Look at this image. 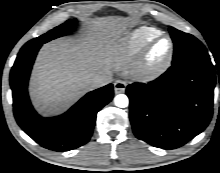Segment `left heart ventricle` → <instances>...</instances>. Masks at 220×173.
Segmentation results:
<instances>
[{"instance_id": "left-heart-ventricle-1", "label": "left heart ventricle", "mask_w": 220, "mask_h": 173, "mask_svg": "<svg viewBox=\"0 0 220 173\" xmlns=\"http://www.w3.org/2000/svg\"><path fill=\"white\" fill-rule=\"evenodd\" d=\"M168 42L166 40H161L150 52L149 63L151 65H156L160 63L167 52Z\"/></svg>"}]
</instances>
